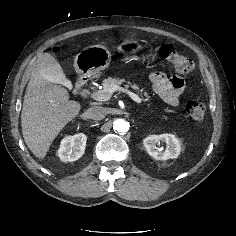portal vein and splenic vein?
Instances as JSON below:
<instances>
[{"mask_svg":"<svg viewBox=\"0 0 236 236\" xmlns=\"http://www.w3.org/2000/svg\"><path fill=\"white\" fill-rule=\"evenodd\" d=\"M117 88L120 89V91L126 92L130 96V98H132V100H134L135 102H137V103H141L142 102L141 98L138 95H136L135 93H133V92H131L129 90H125L122 87H120V88L117 87ZM90 97L92 99H94V100H97V101H107V100H109L111 98L110 95L105 94L103 91L93 92L90 95Z\"/></svg>","mask_w":236,"mask_h":236,"instance_id":"18ae733b","label":"portal vein and splenic vein"}]
</instances>
